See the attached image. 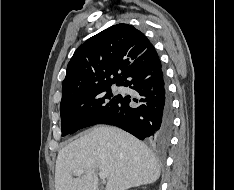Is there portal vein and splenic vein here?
<instances>
[{
    "mask_svg": "<svg viewBox=\"0 0 234 190\" xmlns=\"http://www.w3.org/2000/svg\"><path fill=\"white\" fill-rule=\"evenodd\" d=\"M73 173H74V175H82V174L84 173V170H83V169L75 170ZM99 177H100L102 180H105V179L107 178L106 172L100 171V172H99Z\"/></svg>",
    "mask_w": 234,
    "mask_h": 190,
    "instance_id": "18ae733b",
    "label": "portal vein and splenic vein"
}]
</instances>
